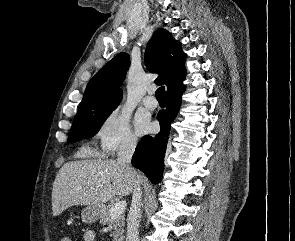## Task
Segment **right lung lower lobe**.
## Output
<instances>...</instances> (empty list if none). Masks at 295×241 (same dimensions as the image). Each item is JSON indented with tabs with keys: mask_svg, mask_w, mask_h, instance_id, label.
<instances>
[{
	"mask_svg": "<svg viewBox=\"0 0 295 241\" xmlns=\"http://www.w3.org/2000/svg\"><path fill=\"white\" fill-rule=\"evenodd\" d=\"M184 91L183 84L167 91L166 109L159 111L157 115V120L160 122V132L154 137L144 136L138 143L132 158V165L145 173L154 184H158L162 180L170 125L178 114Z\"/></svg>",
	"mask_w": 295,
	"mask_h": 241,
	"instance_id": "obj_1",
	"label": "right lung lower lobe"
}]
</instances>
